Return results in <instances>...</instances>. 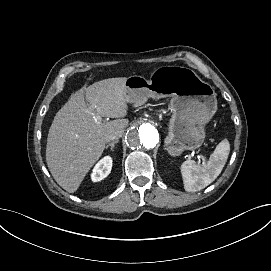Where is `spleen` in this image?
Segmentation results:
<instances>
[{"label": "spleen", "instance_id": "3e777b00", "mask_svg": "<svg viewBox=\"0 0 271 271\" xmlns=\"http://www.w3.org/2000/svg\"><path fill=\"white\" fill-rule=\"evenodd\" d=\"M229 152V141L224 139L216 146L207 163L199 165L193 160L183 162L181 165V173L185 190L194 192L198 187H206L212 183L221 173Z\"/></svg>", "mask_w": 271, "mask_h": 271}]
</instances>
